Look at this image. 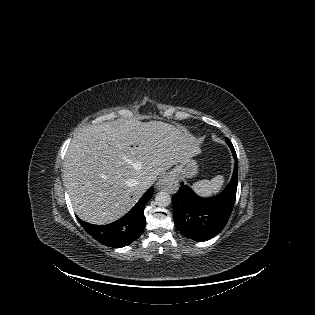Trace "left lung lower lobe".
I'll list each match as a JSON object with an SVG mask.
<instances>
[{"mask_svg":"<svg viewBox=\"0 0 315 315\" xmlns=\"http://www.w3.org/2000/svg\"><path fill=\"white\" fill-rule=\"evenodd\" d=\"M228 139H226V142ZM231 148V147H230ZM235 167L231 181L217 196L201 198L181 182L173 196V217L180 233L195 241H207L216 236L226 225L236 198L238 185V162L231 148Z\"/></svg>","mask_w":315,"mask_h":315,"instance_id":"0a47b994","label":"left lung lower lobe"}]
</instances>
